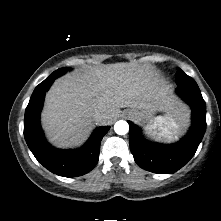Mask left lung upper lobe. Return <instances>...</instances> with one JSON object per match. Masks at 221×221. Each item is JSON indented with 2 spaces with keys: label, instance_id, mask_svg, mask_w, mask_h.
Returning <instances> with one entry per match:
<instances>
[{
  "label": "left lung upper lobe",
  "instance_id": "left-lung-upper-lobe-1",
  "mask_svg": "<svg viewBox=\"0 0 221 221\" xmlns=\"http://www.w3.org/2000/svg\"><path fill=\"white\" fill-rule=\"evenodd\" d=\"M175 81L178 87L198 88L194 79L186 75L180 68L177 70Z\"/></svg>",
  "mask_w": 221,
  "mask_h": 221
}]
</instances>
